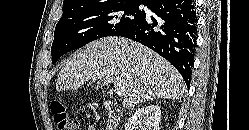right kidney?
<instances>
[{"instance_id":"right-kidney-1","label":"right kidney","mask_w":249,"mask_h":130,"mask_svg":"<svg viewBox=\"0 0 249 130\" xmlns=\"http://www.w3.org/2000/svg\"><path fill=\"white\" fill-rule=\"evenodd\" d=\"M161 110L158 105L139 108L125 124V130H159Z\"/></svg>"}]
</instances>
